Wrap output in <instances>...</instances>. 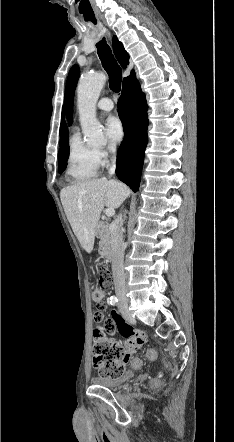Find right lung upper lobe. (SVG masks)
Listing matches in <instances>:
<instances>
[{
  "label": "right lung upper lobe",
  "instance_id": "obj_1",
  "mask_svg": "<svg viewBox=\"0 0 234 442\" xmlns=\"http://www.w3.org/2000/svg\"><path fill=\"white\" fill-rule=\"evenodd\" d=\"M113 49H114L115 56H116L117 60L119 61V63L121 64V66L123 68H126L128 65L129 55L125 51L122 43L117 39L116 36L113 38ZM134 74L135 73L132 70L130 76H132ZM127 78L128 77L124 78V80ZM62 117H65L64 110H62ZM68 141H69L68 129H67L65 120L62 119L61 125H60V147L63 146L64 144H66Z\"/></svg>",
  "mask_w": 234,
  "mask_h": 442
}]
</instances>
